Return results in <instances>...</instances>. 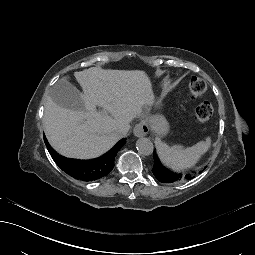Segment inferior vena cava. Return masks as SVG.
<instances>
[{
    "instance_id": "inferior-vena-cava-1",
    "label": "inferior vena cava",
    "mask_w": 255,
    "mask_h": 255,
    "mask_svg": "<svg viewBox=\"0 0 255 255\" xmlns=\"http://www.w3.org/2000/svg\"><path fill=\"white\" fill-rule=\"evenodd\" d=\"M130 129V125L128 122H122L118 128H117V135H118V138L121 139V138H124L127 136L128 134V131Z\"/></svg>"
}]
</instances>
